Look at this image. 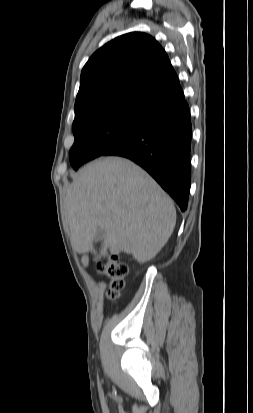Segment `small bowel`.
Listing matches in <instances>:
<instances>
[{
    "instance_id": "1",
    "label": "small bowel",
    "mask_w": 253,
    "mask_h": 413,
    "mask_svg": "<svg viewBox=\"0 0 253 413\" xmlns=\"http://www.w3.org/2000/svg\"><path fill=\"white\" fill-rule=\"evenodd\" d=\"M82 262H83L84 265L87 266L88 263H89L88 257L84 256L83 259H82Z\"/></svg>"
}]
</instances>
